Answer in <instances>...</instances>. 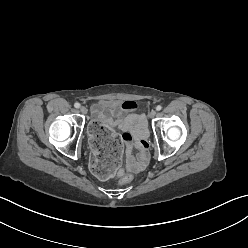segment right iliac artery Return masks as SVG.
Masks as SVG:
<instances>
[{"label":"right iliac artery","mask_w":248,"mask_h":248,"mask_svg":"<svg viewBox=\"0 0 248 248\" xmlns=\"http://www.w3.org/2000/svg\"><path fill=\"white\" fill-rule=\"evenodd\" d=\"M74 106H75V108H79L80 107V104L79 103H75Z\"/></svg>","instance_id":"obj_1"}]
</instances>
